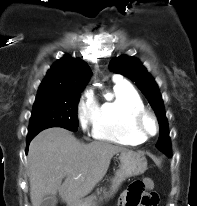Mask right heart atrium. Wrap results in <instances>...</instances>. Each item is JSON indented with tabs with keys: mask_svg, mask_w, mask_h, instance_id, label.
Returning a JSON list of instances; mask_svg holds the SVG:
<instances>
[{
	"mask_svg": "<svg viewBox=\"0 0 197 206\" xmlns=\"http://www.w3.org/2000/svg\"><path fill=\"white\" fill-rule=\"evenodd\" d=\"M97 110L98 105L93 94L87 91L79 101L77 107V117L83 131H86L88 127L94 123Z\"/></svg>",
	"mask_w": 197,
	"mask_h": 206,
	"instance_id": "1",
	"label": "right heart atrium"
}]
</instances>
